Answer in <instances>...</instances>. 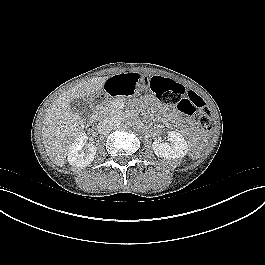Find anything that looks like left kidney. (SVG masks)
I'll use <instances>...</instances> for the list:
<instances>
[{
  "label": "left kidney",
  "instance_id": "5707ae66",
  "mask_svg": "<svg viewBox=\"0 0 265 265\" xmlns=\"http://www.w3.org/2000/svg\"><path fill=\"white\" fill-rule=\"evenodd\" d=\"M170 143L163 142L156 138L152 144V149L157 157L166 159L183 158L188 153V145L184 137L176 131H169Z\"/></svg>",
  "mask_w": 265,
  "mask_h": 265
}]
</instances>
